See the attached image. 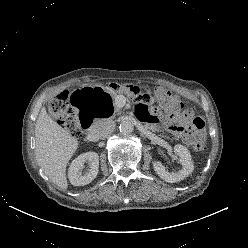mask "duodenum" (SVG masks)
I'll use <instances>...</instances> for the list:
<instances>
[{
  "instance_id": "410a0bca",
  "label": "duodenum",
  "mask_w": 248,
  "mask_h": 248,
  "mask_svg": "<svg viewBox=\"0 0 248 248\" xmlns=\"http://www.w3.org/2000/svg\"><path fill=\"white\" fill-rule=\"evenodd\" d=\"M93 118L92 115L82 117L81 123L85 130H90Z\"/></svg>"
}]
</instances>
